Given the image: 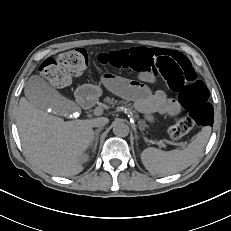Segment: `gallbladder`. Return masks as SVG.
I'll use <instances>...</instances> for the list:
<instances>
[{
	"mask_svg": "<svg viewBox=\"0 0 231 231\" xmlns=\"http://www.w3.org/2000/svg\"><path fill=\"white\" fill-rule=\"evenodd\" d=\"M25 96L39 109L52 108L57 112H66L68 99L46 83L40 76H31L24 88Z\"/></svg>",
	"mask_w": 231,
	"mask_h": 231,
	"instance_id": "1",
	"label": "gallbladder"
}]
</instances>
